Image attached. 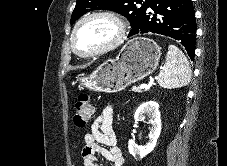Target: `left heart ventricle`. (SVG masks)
<instances>
[{"label":"left heart ventricle","mask_w":227,"mask_h":166,"mask_svg":"<svg viewBox=\"0 0 227 166\" xmlns=\"http://www.w3.org/2000/svg\"><path fill=\"white\" fill-rule=\"evenodd\" d=\"M117 35V28L106 18L86 21L75 36L76 47L82 52L97 50L111 42Z\"/></svg>","instance_id":"1"}]
</instances>
